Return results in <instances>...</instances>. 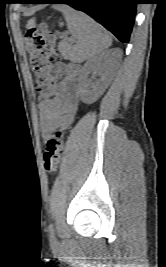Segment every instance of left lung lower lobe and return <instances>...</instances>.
I'll return each instance as SVG.
<instances>
[{"instance_id":"obj_1","label":"left lung lower lobe","mask_w":166,"mask_h":267,"mask_svg":"<svg viewBox=\"0 0 166 267\" xmlns=\"http://www.w3.org/2000/svg\"><path fill=\"white\" fill-rule=\"evenodd\" d=\"M21 3L68 4L93 17L121 42L128 43L138 0H23Z\"/></svg>"}]
</instances>
